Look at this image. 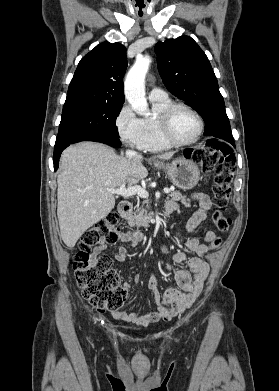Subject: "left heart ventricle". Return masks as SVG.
<instances>
[{
	"instance_id": "left-heart-ventricle-1",
	"label": "left heart ventricle",
	"mask_w": 279,
	"mask_h": 391,
	"mask_svg": "<svg viewBox=\"0 0 279 391\" xmlns=\"http://www.w3.org/2000/svg\"><path fill=\"white\" fill-rule=\"evenodd\" d=\"M199 129L196 117L184 108L177 109L172 118V133L178 141L193 139Z\"/></svg>"
}]
</instances>
